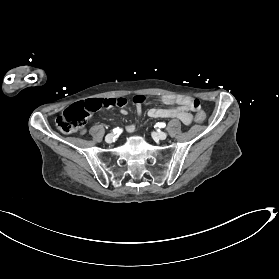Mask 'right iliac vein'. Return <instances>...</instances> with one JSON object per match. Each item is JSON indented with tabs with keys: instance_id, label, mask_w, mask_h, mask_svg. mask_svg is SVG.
<instances>
[{
	"instance_id": "obj_1",
	"label": "right iliac vein",
	"mask_w": 279,
	"mask_h": 279,
	"mask_svg": "<svg viewBox=\"0 0 279 279\" xmlns=\"http://www.w3.org/2000/svg\"><path fill=\"white\" fill-rule=\"evenodd\" d=\"M105 141H106L107 143H112V142L114 141V135H113L112 133L106 135Z\"/></svg>"
}]
</instances>
